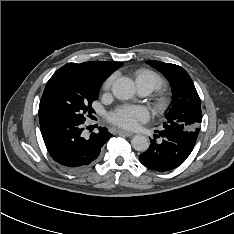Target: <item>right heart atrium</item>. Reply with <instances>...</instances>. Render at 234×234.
<instances>
[{"label":"right heart atrium","mask_w":234,"mask_h":234,"mask_svg":"<svg viewBox=\"0 0 234 234\" xmlns=\"http://www.w3.org/2000/svg\"><path fill=\"white\" fill-rule=\"evenodd\" d=\"M113 81H114V76L113 75L108 77L105 80L104 84H103V89L106 90V91L109 90L111 88L112 84H113Z\"/></svg>","instance_id":"obj_1"}]
</instances>
